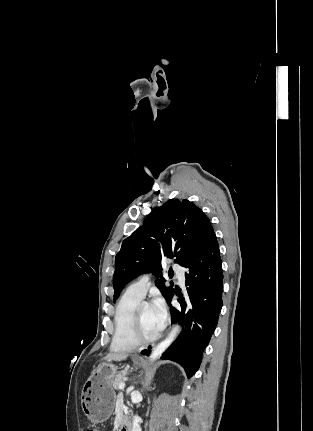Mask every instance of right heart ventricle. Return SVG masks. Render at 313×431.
I'll return each instance as SVG.
<instances>
[{
	"instance_id": "obj_1",
	"label": "right heart ventricle",
	"mask_w": 313,
	"mask_h": 431,
	"mask_svg": "<svg viewBox=\"0 0 313 431\" xmlns=\"http://www.w3.org/2000/svg\"><path fill=\"white\" fill-rule=\"evenodd\" d=\"M140 298L127 294L121 296L114 312V332L111 349L115 352H129L137 347L131 337L132 319Z\"/></svg>"
}]
</instances>
